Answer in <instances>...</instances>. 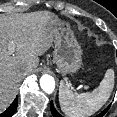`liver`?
<instances>
[{
  "instance_id": "liver-1",
  "label": "liver",
  "mask_w": 117,
  "mask_h": 117,
  "mask_svg": "<svg viewBox=\"0 0 117 117\" xmlns=\"http://www.w3.org/2000/svg\"><path fill=\"white\" fill-rule=\"evenodd\" d=\"M57 21L58 17L48 11L0 17V112L13 99L20 69L34 71L38 56L52 46ZM10 45L16 54L10 52Z\"/></svg>"
}]
</instances>
